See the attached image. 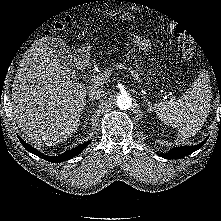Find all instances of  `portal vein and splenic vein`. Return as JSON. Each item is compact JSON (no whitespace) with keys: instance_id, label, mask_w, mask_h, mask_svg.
Returning a JSON list of instances; mask_svg holds the SVG:
<instances>
[{"instance_id":"portal-vein-and-splenic-vein-1","label":"portal vein and splenic vein","mask_w":221,"mask_h":221,"mask_svg":"<svg viewBox=\"0 0 221 221\" xmlns=\"http://www.w3.org/2000/svg\"><path fill=\"white\" fill-rule=\"evenodd\" d=\"M118 67L120 69H125L126 71H129L131 73V75L139 82L142 84V80L139 76V74L132 70L131 68H127L126 66L120 64L118 65ZM110 73L109 72H104V73H101V74H97V75H94L92 78H90V81L94 84H101L102 82L106 81L109 77Z\"/></svg>"}]
</instances>
